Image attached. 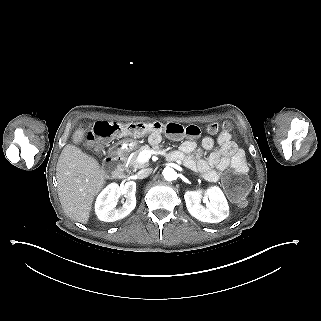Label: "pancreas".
Wrapping results in <instances>:
<instances>
[{"instance_id": "cf45deb5", "label": "pancreas", "mask_w": 321, "mask_h": 321, "mask_svg": "<svg viewBox=\"0 0 321 321\" xmlns=\"http://www.w3.org/2000/svg\"><path fill=\"white\" fill-rule=\"evenodd\" d=\"M163 145H158V146H154V147H150L149 145H142V146H137L136 147V154L130 159L129 162V167L133 168V169H139V168H143L145 166H147V164H141L138 163L137 161V155L144 150H149V151H154L155 153H159L162 151Z\"/></svg>"}]
</instances>
